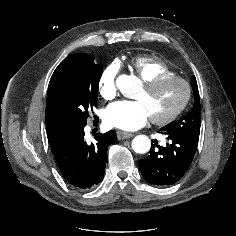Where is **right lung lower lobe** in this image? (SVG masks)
<instances>
[{
	"label": "right lung lower lobe",
	"mask_w": 236,
	"mask_h": 236,
	"mask_svg": "<svg viewBox=\"0 0 236 236\" xmlns=\"http://www.w3.org/2000/svg\"><path fill=\"white\" fill-rule=\"evenodd\" d=\"M94 125H98V120ZM84 135V126L69 129L50 144L62 176L79 190L93 188L102 181L108 146L117 140L114 130L97 134L96 142L91 144H87Z\"/></svg>",
	"instance_id": "obj_1"
}]
</instances>
